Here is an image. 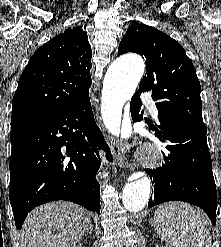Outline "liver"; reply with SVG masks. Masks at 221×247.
<instances>
[{
  "label": "liver",
  "instance_id": "1",
  "mask_svg": "<svg viewBox=\"0 0 221 247\" xmlns=\"http://www.w3.org/2000/svg\"><path fill=\"white\" fill-rule=\"evenodd\" d=\"M91 224L88 211L71 202H50L35 208L22 230V247H75Z\"/></svg>",
  "mask_w": 221,
  "mask_h": 247
}]
</instances>
